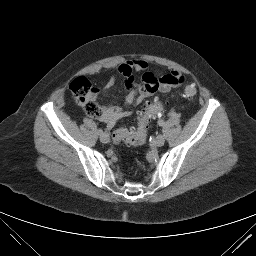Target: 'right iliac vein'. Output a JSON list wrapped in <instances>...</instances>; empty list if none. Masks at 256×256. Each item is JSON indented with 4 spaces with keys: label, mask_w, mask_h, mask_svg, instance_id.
<instances>
[{
    "label": "right iliac vein",
    "mask_w": 256,
    "mask_h": 256,
    "mask_svg": "<svg viewBox=\"0 0 256 256\" xmlns=\"http://www.w3.org/2000/svg\"><path fill=\"white\" fill-rule=\"evenodd\" d=\"M100 141L102 143H108L109 142V135L107 133H103L100 135Z\"/></svg>",
    "instance_id": "1"
}]
</instances>
